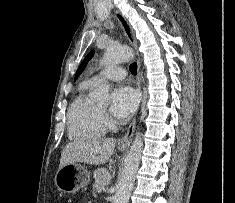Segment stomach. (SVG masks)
Masks as SVG:
<instances>
[{"label":"stomach","instance_id":"0dacf381","mask_svg":"<svg viewBox=\"0 0 235 203\" xmlns=\"http://www.w3.org/2000/svg\"><path fill=\"white\" fill-rule=\"evenodd\" d=\"M125 149L120 147L122 151ZM89 181L90 173L88 170L76 163L67 164L59 168L55 175V184L64 193H75L85 187Z\"/></svg>","mask_w":235,"mask_h":203}]
</instances>
